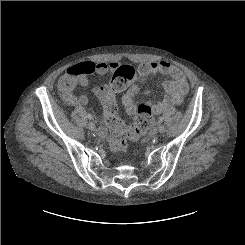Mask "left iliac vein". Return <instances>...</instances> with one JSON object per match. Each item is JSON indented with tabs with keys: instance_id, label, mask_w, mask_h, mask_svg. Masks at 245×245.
<instances>
[{
	"instance_id": "obj_1",
	"label": "left iliac vein",
	"mask_w": 245,
	"mask_h": 245,
	"mask_svg": "<svg viewBox=\"0 0 245 245\" xmlns=\"http://www.w3.org/2000/svg\"><path fill=\"white\" fill-rule=\"evenodd\" d=\"M158 131H159L160 133H163V132L165 131V126L161 124V125L159 126V128H158Z\"/></svg>"
}]
</instances>
